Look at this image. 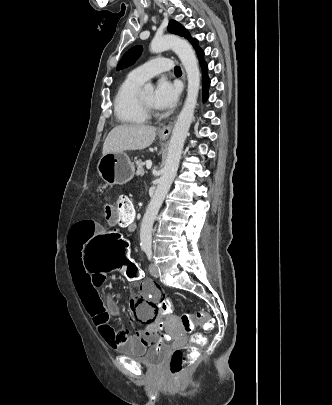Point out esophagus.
I'll list each match as a JSON object with an SVG mask.
<instances>
[{
  "instance_id": "esophagus-1",
  "label": "esophagus",
  "mask_w": 332,
  "mask_h": 405,
  "mask_svg": "<svg viewBox=\"0 0 332 405\" xmlns=\"http://www.w3.org/2000/svg\"><path fill=\"white\" fill-rule=\"evenodd\" d=\"M183 81L185 84V72L183 71ZM173 126V121L169 122L167 125H164L160 128L159 134L164 137H168L170 135L171 129Z\"/></svg>"
}]
</instances>
